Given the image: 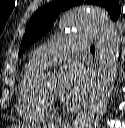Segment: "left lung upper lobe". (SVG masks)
<instances>
[{
    "label": "left lung upper lobe",
    "mask_w": 125,
    "mask_h": 128,
    "mask_svg": "<svg viewBox=\"0 0 125 128\" xmlns=\"http://www.w3.org/2000/svg\"><path fill=\"white\" fill-rule=\"evenodd\" d=\"M81 4L97 5L106 9L113 21L118 19L121 12L118 0H56L50 2L38 9L31 17L20 45L19 55L50 30L61 11Z\"/></svg>",
    "instance_id": "5c2ea615"
}]
</instances>
